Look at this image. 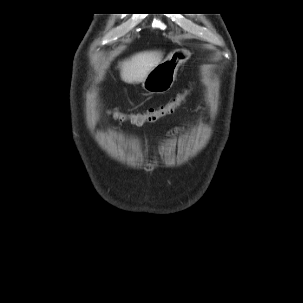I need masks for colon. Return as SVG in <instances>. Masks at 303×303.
<instances>
[{
    "label": "colon",
    "mask_w": 303,
    "mask_h": 303,
    "mask_svg": "<svg viewBox=\"0 0 303 303\" xmlns=\"http://www.w3.org/2000/svg\"><path fill=\"white\" fill-rule=\"evenodd\" d=\"M190 89H185L183 92L176 95L171 101L168 103L147 109L143 112H138L134 114H124L121 113L118 109H112L110 114L119 121H125L130 119L134 125L142 126L146 123H152L160 118L174 112V110L181 105V103L185 100L187 94Z\"/></svg>",
    "instance_id": "obj_1"
}]
</instances>
